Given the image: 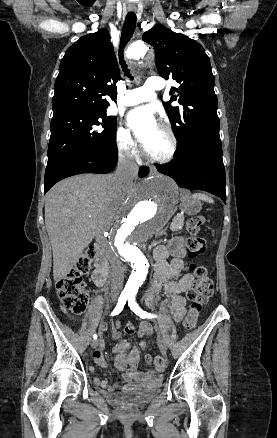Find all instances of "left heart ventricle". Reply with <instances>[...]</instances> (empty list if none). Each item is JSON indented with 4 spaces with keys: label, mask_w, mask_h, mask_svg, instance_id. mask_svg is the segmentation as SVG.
Segmentation results:
<instances>
[{
    "label": "left heart ventricle",
    "mask_w": 277,
    "mask_h": 438,
    "mask_svg": "<svg viewBox=\"0 0 277 438\" xmlns=\"http://www.w3.org/2000/svg\"><path fill=\"white\" fill-rule=\"evenodd\" d=\"M143 148L150 156L164 158L170 152L171 142L166 133L156 127L149 134L147 140L143 145Z\"/></svg>",
    "instance_id": "obj_1"
}]
</instances>
